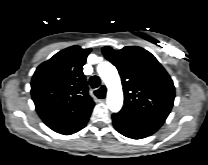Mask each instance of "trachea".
Returning <instances> with one entry per match:
<instances>
[{
  "mask_svg": "<svg viewBox=\"0 0 208 165\" xmlns=\"http://www.w3.org/2000/svg\"><path fill=\"white\" fill-rule=\"evenodd\" d=\"M89 84L92 88H97L100 85V78L98 76H92L89 80ZM95 95L99 98V99H103L105 98V89L103 87H101L100 89L95 91Z\"/></svg>",
  "mask_w": 208,
  "mask_h": 165,
  "instance_id": "trachea-1",
  "label": "trachea"
}]
</instances>
